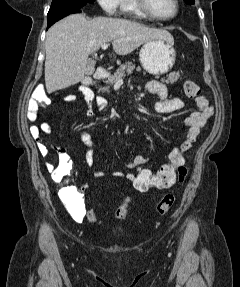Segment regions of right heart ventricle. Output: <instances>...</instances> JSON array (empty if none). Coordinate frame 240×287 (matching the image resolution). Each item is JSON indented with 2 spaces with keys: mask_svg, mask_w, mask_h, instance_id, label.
Wrapping results in <instances>:
<instances>
[{
  "mask_svg": "<svg viewBox=\"0 0 240 287\" xmlns=\"http://www.w3.org/2000/svg\"><path fill=\"white\" fill-rule=\"evenodd\" d=\"M119 12L121 15L130 18H146V16L139 9L137 0H120Z\"/></svg>",
  "mask_w": 240,
  "mask_h": 287,
  "instance_id": "1",
  "label": "right heart ventricle"
}]
</instances>
